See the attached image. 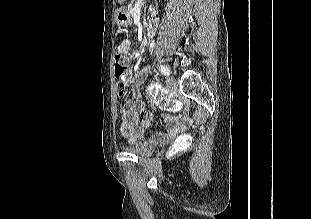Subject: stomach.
Listing matches in <instances>:
<instances>
[{
  "instance_id": "1",
  "label": "stomach",
  "mask_w": 311,
  "mask_h": 219,
  "mask_svg": "<svg viewBox=\"0 0 311 219\" xmlns=\"http://www.w3.org/2000/svg\"><path fill=\"white\" fill-rule=\"evenodd\" d=\"M116 19L120 25H129L131 23V15L126 11L117 13Z\"/></svg>"
}]
</instances>
